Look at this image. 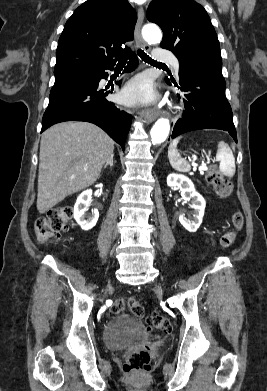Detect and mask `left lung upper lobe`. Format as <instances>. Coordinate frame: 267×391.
<instances>
[{
	"mask_svg": "<svg viewBox=\"0 0 267 391\" xmlns=\"http://www.w3.org/2000/svg\"><path fill=\"white\" fill-rule=\"evenodd\" d=\"M147 19L161 27V47L178 58L179 71L203 69L222 74L217 35L200 4L193 0H153Z\"/></svg>",
	"mask_w": 267,
	"mask_h": 391,
	"instance_id": "5c2ea615",
	"label": "left lung upper lobe"
}]
</instances>
